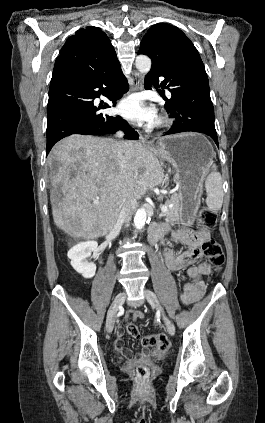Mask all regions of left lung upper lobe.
<instances>
[{
	"instance_id": "left-lung-upper-lobe-1",
	"label": "left lung upper lobe",
	"mask_w": 265,
	"mask_h": 423,
	"mask_svg": "<svg viewBox=\"0 0 265 423\" xmlns=\"http://www.w3.org/2000/svg\"><path fill=\"white\" fill-rule=\"evenodd\" d=\"M193 49V43L177 27L158 23L151 27L143 37L139 54L152 59V67H163L180 54Z\"/></svg>"
}]
</instances>
